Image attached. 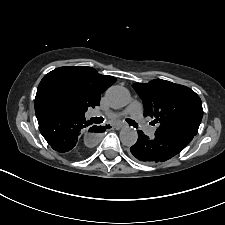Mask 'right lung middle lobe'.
<instances>
[{"label": "right lung middle lobe", "mask_w": 225, "mask_h": 225, "mask_svg": "<svg viewBox=\"0 0 225 225\" xmlns=\"http://www.w3.org/2000/svg\"><path fill=\"white\" fill-rule=\"evenodd\" d=\"M51 104L57 106V107H60L62 109H65V110H68V111H71V112H74V113H78V111H76L74 108H72L71 106H69L66 102H64L62 99L60 98H53L51 100Z\"/></svg>", "instance_id": "1"}]
</instances>
